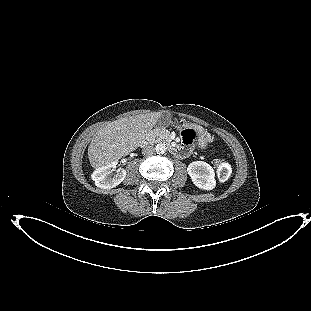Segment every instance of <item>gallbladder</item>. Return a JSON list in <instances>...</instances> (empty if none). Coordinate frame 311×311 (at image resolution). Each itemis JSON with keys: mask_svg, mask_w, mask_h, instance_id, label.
Masks as SVG:
<instances>
[{"mask_svg": "<svg viewBox=\"0 0 311 311\" xmlns=\"http://www.w3.org/2000/svg\"><path fill=\"white\" fill-rule=\"evenodd\" d=\"M171 123V114L169 112H163L157 121L158 127H165Z\"/></svg>", "mask_w": 311, "mask_h": 311, "instance_id": "gallbladder-1", "label": "gallbladder"}]
</instances>
